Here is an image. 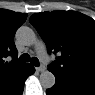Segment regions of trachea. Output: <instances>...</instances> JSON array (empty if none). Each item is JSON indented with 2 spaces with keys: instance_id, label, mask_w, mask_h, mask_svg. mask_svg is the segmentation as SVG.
I'll return each instance as SVG.
<instances>
[{
  "instance_id": "3493384b",
  "label": "trachea",
  "mask_w": 95,
  "mask_h": 95,
  "mask_svg": "<svg viewBox=\"0 0 95 95\" xmlns=\"http://www.w3.org/2000/svg\"><path fill=\"white\" fill-rule=\"evenodd\" d=\"M20 60L22 62H31V64L36 66V67L39 66L38 58H36V57L30 58L29 54H27V53L22 54L20 57Z\"/></svg>"
}]
</instances>
